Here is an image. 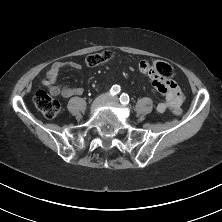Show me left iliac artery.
<instances>
[{
	"label": "left iliac artery",
	"instance_id": "obj_1",
	"mask_svg": "<svg viewBox=\"0 0 222 222\" xmlns=\"http://www.w3.org/2000/svg\"><path fill=\"white\" fill-rule=\"evenodd\" d=\"M120 102L121 104L123 105H127L129 103V96L125 93H123L121 96H120Z\"/></svg>",
	"mask_w": 222,
	"mask_h": 222
}]
</instances>
